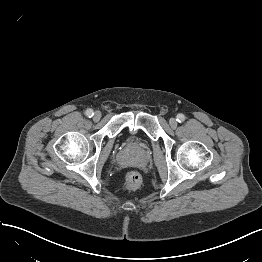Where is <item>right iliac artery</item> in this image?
I'll return each mask as SVG.
<instances>
[{
  "instance_id": "right-iliac-artery-1",
  "label": "right iliac artery",
  "mask_w": 262,
  "mask_h": 262,
  "mask_svg": "<svg viewBox=\"0 0 262 262\" xmlns=\"http://www.w3.org/2000/svg\"><path fill=\"white\" fill-rule=\"evenodd\" d=\"M93 115H94V112H93L92 109L86 110V116H87V117L91 118V117H93Z\"/></svg>"
}]
</instances>
